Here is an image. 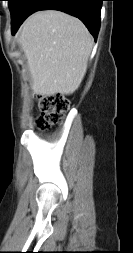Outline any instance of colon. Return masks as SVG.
I'll list each match as a JSON object with an SVG mask.
<instances>
[{
	"mask_svg": "<svg viewBox=\"0 0 133 253\" xmlns=\"http://www.w3.org/2000/svg\"><path fill=\"white\" fill-rule=\"evenodd\" d=\"M37 102L41 113L36 120V125L42 131L61 123L69 107L68 101L58 94L39 95Z\"/></svg>",
	"mask_w": 133,
	"mask_h": 253,
	"instance_id": "5ec220e1",
	"label": "colon"
}]
</instances>
